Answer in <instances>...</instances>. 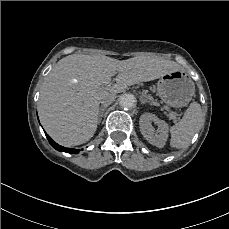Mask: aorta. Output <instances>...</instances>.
Segmentation results:
<instances>
[{
    "mask_svg": "<svg viewBox=\"0 0 229 229\" xmlns=\"http://www.w3.org/2000/svg\"><path fill=\"white\" fill-rule=\"evenodd\" d=\"M119 104L122 108L128 110L136 106V99L131 94H125L120 97Z\"/></svg>",
    "mask_w": 229,
    "mask_h": 229,
    "instance_id": "1",
    "label": "aorta"
}]
</instances>
